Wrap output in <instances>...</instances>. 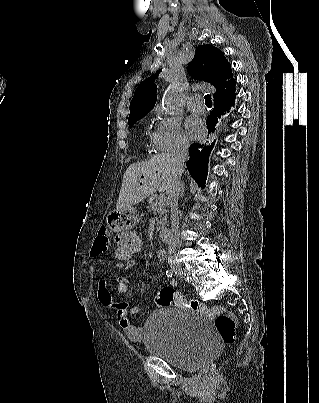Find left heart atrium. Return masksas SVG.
I'll return each mask as SVG.
<instances>
[{"label":"left heart atrium","mask_w":319,"mask_h":403,"mask_svg":"<svg viewBox=\"0 0 319 403\" xmlns=\"http://www.w3.org/2000/svg\"><path fill=\"white\" fill-rule=\"evenodd\" d=\"M186 132L191 139H198L204 133V126L196 116H189L186 120Z\"/></svg>","instance_id":"1"}]
</instances>
